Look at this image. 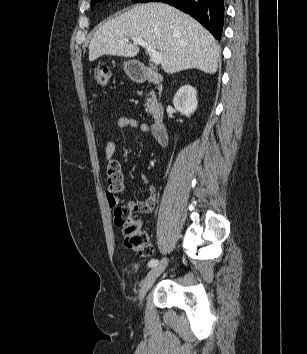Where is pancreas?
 <instances>
[{"label":"pancreas","instance_id":"cf45deb5","mask_svg":"<svg viewBox=\"0 0 307 354\" xmlns=\"http://www.w3.org/2000/svg\"><path fill=\"white\" fill-rule=\"evenodd\" d=\"M151 97L147 98V103L145 105V111L146 112H151L153 109V99L155 97V93L153 91L150 92L149 94Z\"/></svg>","mask_w":307,"mask_h":354}]
</instances>
